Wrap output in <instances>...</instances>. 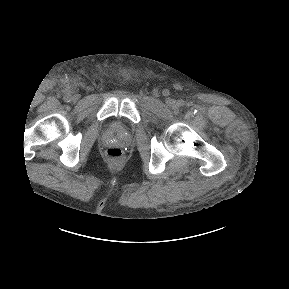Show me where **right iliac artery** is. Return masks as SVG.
<instances>
[{"mask_svg":"<svg viewBox=\"0 0 289 289\" xmlns=\"http://www.w3.org/2000/svg\"><path fill=\"white\" fill-rule=\"evenodd\" d=\"M65 101L69 102L71 100V95L67 94L64 97Z\"/></svg>","mask_w":289,"mask_h":289,"instance_id":"right-iliac-artery-1","label":"right iliac artery"}]
</instances>
